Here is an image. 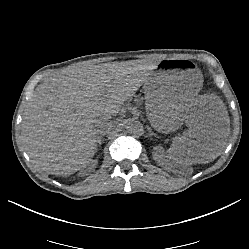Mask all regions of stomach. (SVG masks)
I'll list each match as a JSON object with an SVG mask.
<instances>
[{
	"instance_id": "1",
	"label": "stomach",
	"mask_w": 249,
	"mask_h": 249,
	"mask_svg": "<svg viewBox=\"0 0 249 249\" xmlns=\"http://www.w3.org/2000/svg\"><path fill=\"white\" fill-rule=\"evenodd\" d=\"M202 86V73L194 64L178 59L161 61L143 87L150 121L163 131L177 128Z\"/></svg>"
}]
</instances>
